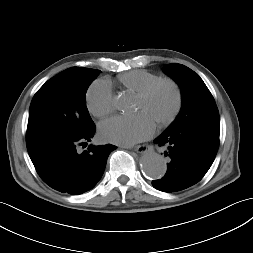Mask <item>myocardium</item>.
<instances>
[{
  "label": "myocardium",
  "mask_w": 253,
  "mask_h": 253,
  "mask_svg": "<svg viewBox=\"0 0 253 253\" xmlns=\"http://www.w3.org/2000/svg\"><path fill=\"white\" fill-rule=\"evenodd\" d=\"M162 85H168L172 89L174 93V105L168 116L157 122V125L160 127H164L171 124L176 119L182 108L183 92L180 84L176 80L169 77L159 78L148 84L145 88H143L140 92L137 93L138 98L145 100L149 98L151 94Z\"/></svg>",
  "instance_id": "obj_1"
}]
</instances>
